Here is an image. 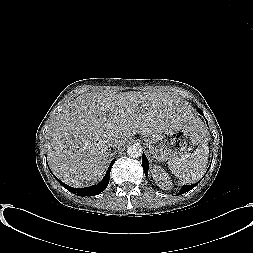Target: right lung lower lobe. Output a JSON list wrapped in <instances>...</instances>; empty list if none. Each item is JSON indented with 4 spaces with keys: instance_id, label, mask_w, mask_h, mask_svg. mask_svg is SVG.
Listing matches in <instances>:
<instances>
[{
    "instance_id": "right-lung-lower-lobe-1",
    "label": "right lung lower lobe",
    "mask_w": 253,
    "mask_h": 253,
    "mask_svg": "<svg viewBox=\"0 0 253 253\" xmlns=\"http://www.w3.org/2000/svg\"><path fill=\"white\" fill-rule=\"evenodd\" d=\"M115 162V159L112 160L107 172H106V175L104 176L103 180L96 184V185H93V186H90V187H86V188H73V187H70L66 184H64L63 182H61L60 180H58L60 182V184L65 187L66 189H68L70 192L76 194V195H79V196H94V195H97L101 192H103L106 187L108 186L109 184V180H110V171H111V168L113 166Z\"/></svg>"
}]
</instances>
